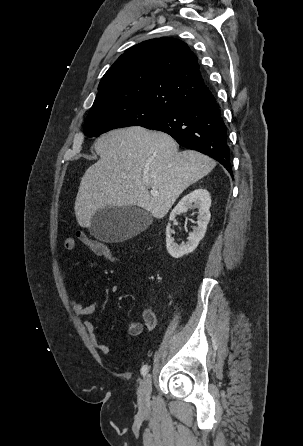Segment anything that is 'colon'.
I'll return each mask as SVG.
<instances>
[{
    "label": "colon",
    "mask_w": 303,
    "mask_h": 446,
    "mask_svg": "<svg viewBox=\"0 0 303 446\" xmlns=\"http://www.w3.org/2000/svg\"><path fill=\"white\" fill-rule=\"evenodd\" d=\"M97 256L109 261H116L117 257L112 253L108 245L99 241Z\"/></svg>",
    "instance_id": "colon-1"
}]
</instances>
